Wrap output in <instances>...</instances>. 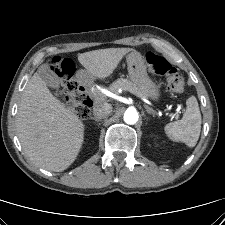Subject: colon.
<instances>
[{"instance_id": "1", "label": "colon", "mask_w": 225, "mask_h": 225, "mask_svg": "<svg viewBox=\"0 0 225 225\" xmlns=\"http://www.w3.org/2000/svg\"><path fill=\"white\" fill-rule=\"evenodd\" d=\"M145 58L152 72L166 77L168 92L182 93L184 91L183 77L167 59L153 52H148ZM52 70L60 79V94L64 96L68 106L79 118L86 119L90 115L92 101L83 94L74 77V63L69 59H56Z\"/></svg>"}]
</instances>
